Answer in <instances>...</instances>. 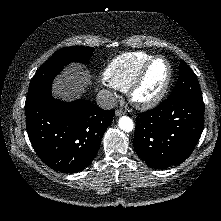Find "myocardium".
<instances>
[{"label": "myocardium", "mask_w": 221, "mask_h": 221, "mask_svg": "<svg viewBox=\"0 0 221 221\" xmlns=\"http://www.w3.org/2000/svg\"><path fill=\"white\" fill-rule=\"evenodd\" d=\"M159 59L163 60L167 65V76H166V79H165V82H164L162 88L159 90V92L156 95H154L151 98H148V99L138 98L137 92L140 89V87L142 86L149 68L156 60H159ZM171 80H172V66H171L169 60L162 55H155V56L151 57L142 66V68L139 70L138 74L136 75V77L132 81V83L129 86L128 91H127L128 98H129L130 102L138 109L148 110V109L154 108L163 100V98L167 94L170 84H171Z\"/></svg>", "instance_id": "f54148a6"}]
</instances>
